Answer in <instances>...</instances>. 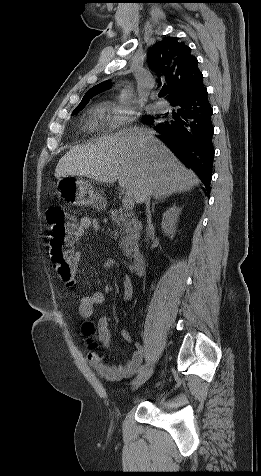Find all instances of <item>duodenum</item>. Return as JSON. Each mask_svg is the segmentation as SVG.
I'll use <instances>...</instances> for the list:
<instances>
[{
    "mask_svg": "<svg viewBox=\"0 0 261 476\" xmlns=\"http://www.w3.org/2000/svg\"><path fill=\"white\" fill-rule=\"evenodd\" d=\"M132 268L136 275H141L145 270V258L142 252H135L131 256Z\"/></svg>",
    "mask_w": 261,
    "mask_h": 476,
    "instance_id": "410a0bca",
    "label": "duodenum"
}]
</instances>
